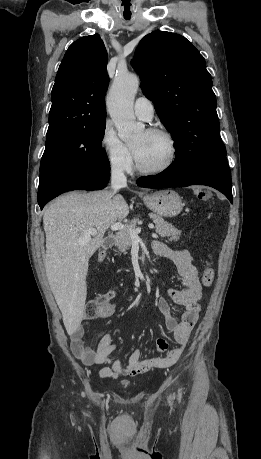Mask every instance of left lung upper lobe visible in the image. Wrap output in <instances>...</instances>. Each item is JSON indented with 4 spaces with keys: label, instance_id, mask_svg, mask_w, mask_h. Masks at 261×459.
Returning a JSON list of instances; mask_svg holds the SVG:
<instances>
[{
    "label": "left lung upper lobe",
    "instance_id": "obj_1",
    "mask_svg": "<svg viewBox=\"0 0 261 459\" xmlns=\"http://www.w3.org/2000/svg\"><path fill=\"white\" fill-rule=\"evenodd\" d=\"M133 67L143 94L175 141L171 167L181 173L200 162L226 156L216 97L206 63L183 36L155 31L138 45Z\"/></svg>",
    "mask_w": 261,
    "mask_h": 459
}]
</instances>
